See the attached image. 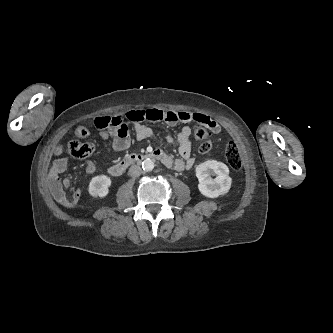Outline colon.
<instances>
[{
	"mask_svg": "<svg viewBox=\"0 0 333 333\" xmlns=\"http://www.w3.org/2000/svg\"><path fill=\"white\" fill-rule=\"evenodd\" d=\"M161 117H156V120H160ZM95 126L100 129H111L116 130L119 133H126L128 131L127 127V116H99L94 120ZM85 127H78L76 134L85 135L87 133ZM195 138L200 141L199 152L201 154H207L211 151L212 142L210 132L202 127L197 126L194 129ZM95 144L91 142H80L78 140H72L67 144V149L69 153L78 159H82L90 156L95 151ZM60 151V149H59ZM225 160L227 164L234 171L240 170L242 166L241 155L238 147L234 142H229L225 147Z\"/></svg>",
	"mask_w": 333,
	"mask_h": 333,
	"instance_id": "5ec220e1",
	"label": "colon"
}]
</instances>
